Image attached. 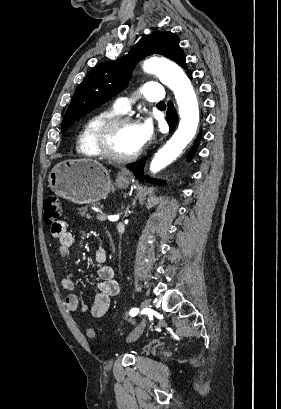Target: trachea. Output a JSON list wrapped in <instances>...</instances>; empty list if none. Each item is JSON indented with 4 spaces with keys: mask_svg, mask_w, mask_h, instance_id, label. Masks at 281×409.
I'll use <instances>...</instances> for the list:
<instances>
[{
    "mask_svg": "<svg viewBox=\"0 0 281 409\" xmlns=\"http://www.w3.org/2000/svg\"><path fill=\"white\" fill-rule=\"evenodd\" d=\"M158 105H166V104L165 102L161 101V102H158Z\"/></svg>",
    "mask_w": 281,
    "mask_h": 409,
    "instance_id": "3493384b",
    "label": "trachea"
}]
</instances>
